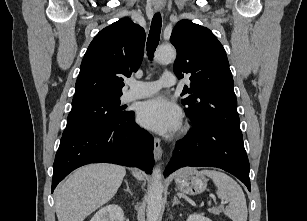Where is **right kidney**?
<instances>
[{
	"mask_svg": "<svg viewBox=\"0 0 307 221\" xmlns=\"http://www.w3.org/2000/svg\"><path fill=\"white\" fill-rule=\"evenodd\" d=\"M124 211L116 204L107 205L98 210L90 221H123Z\"/></svg>",
	"mask_w": 307,
	"mask_h": 221,
	"instance_id": "right-kidney-1",
	"label": "right kidney"
}]
</instances>
